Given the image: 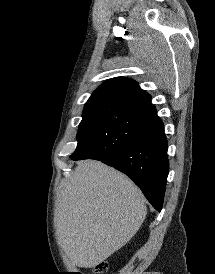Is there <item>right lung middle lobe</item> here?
<instances>
[{
    "label": "right lung middle lobe",
    "instance_id": "obj_1",
    "mask_svg": "<svg viewBox=\"0 0 215 274\" xmlns=\"http://www.w3.org/2000/svg\"><path fill=\"white\" fill-rule=\"evenodd\" d=\"M82 117L72 160L110 157L158 119L156 113L107 101L87 102Z\"/></svg>",
    "mask_w": 215,
    "mask_h": 274
}]
</instances>
